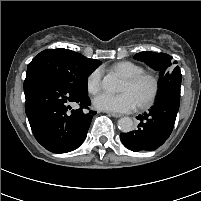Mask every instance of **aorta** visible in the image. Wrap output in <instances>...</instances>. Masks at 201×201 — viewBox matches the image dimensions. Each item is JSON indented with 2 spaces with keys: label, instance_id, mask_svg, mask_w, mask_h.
<instances>
[{
  "label": "aorta",
  "instance_id": "1",
  "mask_svg": "<svg viewBox=\"0 0 201 201\" xmlns=\"http://www.w3.org/2000/svg\"><path fill=\"white\" fill-rule=\"evenodd\" d=\"M102 88L108 92H118L121 89L119 79L113 74H107L102 80ZM118 128L124 132H131L134 128L133 120L130 117H123L118 120Z\"/></svg>",
  "mask_w": 201,
  "mask_h": 201
}]
</instances>
